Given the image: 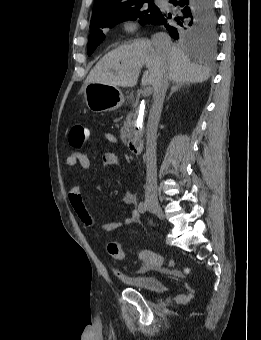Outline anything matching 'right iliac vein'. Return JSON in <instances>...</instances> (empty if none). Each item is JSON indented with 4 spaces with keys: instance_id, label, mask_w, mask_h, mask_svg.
Segmentation results:
<instances>
[{
    "instance_id": "obj_1",
    "label": "right iliac vein",
    "mask_w": 261,
    "mask_h": 340,
    "mask_svg": "<svg viewBox=\"0 0 261 340\" xmlns=\"http://www.w3.org/2000/svg\"><path fill=\"white\" fill-rule=\"evenodd\" d=\"M146 204L148 206V209L152 213H154L159 219H164V213L156 201L149 199L146 201Z\"/></svg>"
}]
</instances>
